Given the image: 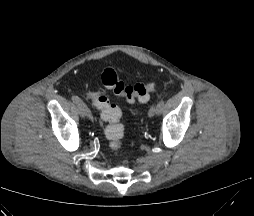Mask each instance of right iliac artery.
Masks as SVG:
<instances>
[{
	"label": "right iliac artery",
	"instance_id": "right-iliac-artery-1",
	"mask_svg": "<svg viewBox=\"0 0 254 216\" xmlns=\"http://www.w3.org/2000/svg\"><path fill=\"white\" fill-rule=\"evenodd\" d=\"M72 101L79 105V106H83L86 110L87 116L91 119V120H95V116L93 115V113L87 108V106L83 103V101L76 95H73L71 97Z\"/></svg>",
	"mask_w": 254,
	"mask_h": 216
}]
</instances>
